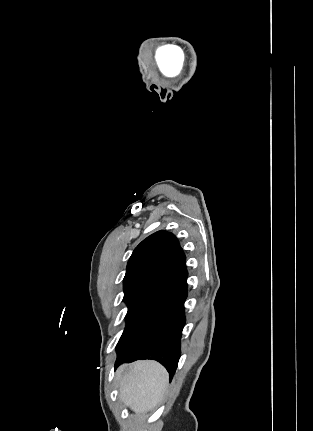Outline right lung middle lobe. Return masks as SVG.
<instances>
[{
    "mask_svg": "<svg viewBox=\"0 0 313 431\" xmlns=\"http://www.w3.org/2000/svg\"><path fill=\"white\" fill-rule=\"evenodd\" d=\"M147 297H135V296H125L124 301L128 306V312L126 314L127 324L132 320V318L136 315V313L140 310V308L145 303Z\"/></svg>",
    "mask_w": 313,
    "mask_h": 431,
    "instance_id": "obj_1",
    "label": "right lung middle lobe"
}]
</instances>
